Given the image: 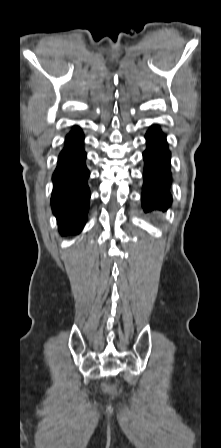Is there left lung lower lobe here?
I'll return each instance as SVG.
<instances>
[{
	"label": "left lung lower lobe",
	"mask_w": 221,
	"mask_h": 448,
	"mask_svg": "<svg viewBox=\"0 0 221 448\" xmlns=\"http://www.w3.org/2000/svg\"><path fill=\"white\" fill-rule=\"evenodd\" d=\"M147 149L143 153L145 167L142 205L144 211L166 210L172 198L167 189L170 185V152L165 135L160 128L153 126L147 134Z\"/></svg>",
	"instance_id": "obj_1"
}]
</instances>
